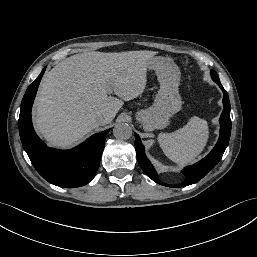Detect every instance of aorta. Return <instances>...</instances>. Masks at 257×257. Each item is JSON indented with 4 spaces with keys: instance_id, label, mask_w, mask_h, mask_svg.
Returning a JSON list of instances; mask_svg holds the SVG:
<instances>
[{
    "instance_id": "obj_1",
    "label": "aorta",
    "mask_w": 257,
    "mask_h": 257,
    "mask_svg": "<svg viewBox=\"0 0 257 257\" xmlns=\"http://www.w3.org/2000/svg\"><path fill=\"white\" fill-rule=\"evenodd\" d=\"M113 135L120 140H127L132 135V129L127 123H118L113 128Z\"/></svg>"
}]
</instances>
